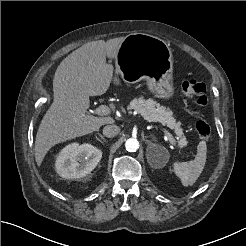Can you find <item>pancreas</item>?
I'll use <instances>...</instances> for the list:
<instances>
[{"mask_svg": "<svg viewBox=\"0 0 246 246\" xmlns=\"http://www.w3.org/2000/svg\"><path fill=\"white\" fill-rule=\"evenodd\" d=\"M128 109L136 110L141 116L147 120L148 122H160L163 125H167L168 127L175 129H181V123L176 122L173 117V113L170 109H167L164 106H161L159 103L154 101L153 99L145 100L143 97L133 99L128 105ZM180 137L179 145L181 147L187 144L185 136L182 134H178Z\"/></svg>", "mask_w": 246, "mask_h": 246, "instance_id": "1", "label": "pancreas"}]
</instances>
